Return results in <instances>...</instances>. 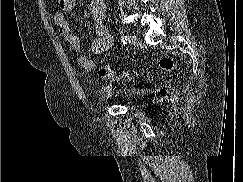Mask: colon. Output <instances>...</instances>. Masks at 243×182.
Returning <instances> with one entry per match:
<instances>
[{"mask_svg": "<svg viewBox=\"0 0 243 182\" xmlns=\"http://www.w3.org/2000/svg\"><path fill=\"white\" fill-rule=\"evenodd\" d=\"M159 67L164 71H171L175 68L174 61L169 57H162L159 59ZM98 75L102 79H114L119 78L121 75L120 73L115 72L108 66H102L98 70Z\"/></svg>", "mask_w": 243, "mask_h": 182, "instance_id": "5ec220e1", "label": "colon"}]
</instances>
